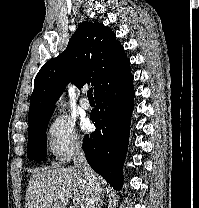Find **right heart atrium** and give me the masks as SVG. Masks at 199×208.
Returning <instances> with one entry per match:
<instances>
[{"instance_id":"d8ad5b80","label":"right heart atrium","mask_w":199,"mask_h":208,"mask_svg":"<svg viewBox=\"0 0 199 208\" xmlns=\"http://www.w3.org/2000/svg\"><path fill=\"white\" fill-rule=\"evenodd\" d=\"M83 144V139L72 119L58 116L49 124L47 149L57 163L69 161L82 150Z\"/></svg>"}]
</instances>
